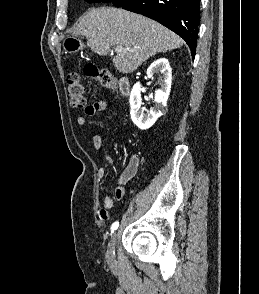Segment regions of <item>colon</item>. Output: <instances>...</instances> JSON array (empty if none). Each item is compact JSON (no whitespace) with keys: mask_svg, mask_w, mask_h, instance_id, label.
<instances>
[{"mask_svg":"<svg viewBox=\"0 0 259 294\" xmlns=\"http://www.w3.org/2000/svg\"><path fill=\"white\" fill-rule=\"evenodd\" d=\"M86 77L96 81L102 87L107 89H116L118 81L116 77L105 69H99L93 65L84 68ZM67 92L69 100L74 107H86L85 89L78 73H71L67 77Z\"/></svg>","mask_w":259,"mask_h":294,"instance_id":"5ec220e1","label":"colon"}]
</instances>
